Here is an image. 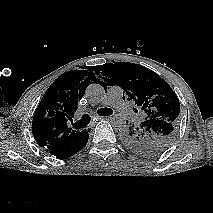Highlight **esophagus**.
Wrapping results in <instances>:
<instances>
[{
	"label": "esophagus",
	"instance_id": "34e87169",
	"mask_svg": "<svg viewBox=\"0 0 213 213\" xmlns=\"http://www.w3.org/2000/svg\"><path fill=\"white\" fill-rule=\"evenodd\" d=\"M103 118H105V117H103V116H96V117H95L96 120H101V119H103ZM93 125H94V122L91 123V124L87 127V130L93 129V127H94Z\"/></svg>",
	"mask_w": 213,
	"mask_h": 213
}]
</instances>
